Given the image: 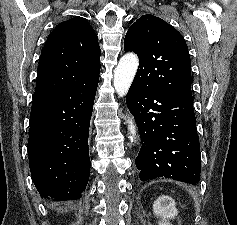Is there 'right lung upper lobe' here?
<instances>
[{
  "mask_svg": "<svg viewBox=\"0 0 237 225\" xmlns=\"http://www.w3.org/2000/svg\"><path fill=\"white\" fill-rule=\"evenodd\" d=\"M98 37L87 20L72 18L49 34L41 52L33 99L59 96L99 79Z\"/></svg>",
  "mask_w": 237,
  "mask_h": 225,
  "instance_id": "1",
  "label": "right lung upper lobe"
}]
</instances>
